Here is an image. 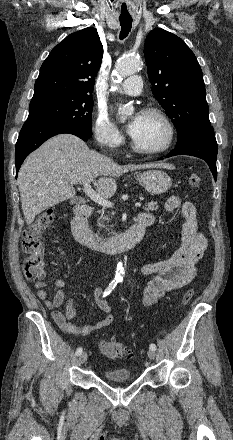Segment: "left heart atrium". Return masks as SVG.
Returning a JSON list of instances; mask_svg holds the SVG:
<instances>
[{
	"label": "left heart atrium",
	"instance_id": "left-heart-atrium-1",
	"mask_svg": "<svg viewBox=\"0 0 233 440\" xmlns=\"http://www.w3.org/2000/svg\"><path fill=\"white\" fill-rule=\"evenodd\" d=\"M139 117H140V114L136 115L135 117L132 118V120L128 124V132L130 133L131 136L135 132L136 126L139 121Z\"/></svg>",
	"mask_w": 233,
	"mask_h": 440
}]
</instances>
